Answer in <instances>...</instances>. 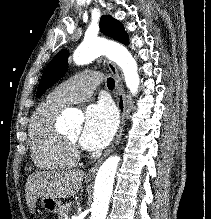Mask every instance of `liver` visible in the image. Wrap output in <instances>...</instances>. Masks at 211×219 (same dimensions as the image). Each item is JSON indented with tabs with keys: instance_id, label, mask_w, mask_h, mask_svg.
<instances>
[{
	"instance_id": "1",
	"label": "liver",
	"mask_w": 211,
	"mask_h": 219,
	"mask_svg": "<svg viewBox=\"0 0 211 219\" xmlns=\"http://www.w3.org/2000/svg\"><path fill=\"white\" fill-rule=\"evenodd\" d=\"M85 173L81 170L36 172L28 176L26 201L31 212L41 196L69 198L79 192Z\"/></svg>"
}]
</instances>
